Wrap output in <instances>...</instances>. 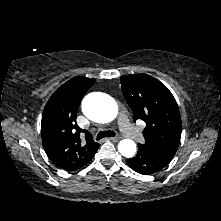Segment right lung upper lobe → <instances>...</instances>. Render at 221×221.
<instances>
[{"label":"right lung upper lobe","mask_w":221,"mask_h":221,"mask_svg":"<svg viewBox=\"0 0 221 221\" xmlns=\"http://www.w3.org/2000/svg\"><path fill=\"white\" fill-rule=\"evenodd\" d=\"M95 79L76 76L59 87L47 102L41 121L43 147L50 160L59 168L74 171L85 166L100 144L76 123L82 97ZM85 134V141L81 139Z\"/></svg>","instance_id":"right-lung-upper-lobe-1"}]
</instances>
